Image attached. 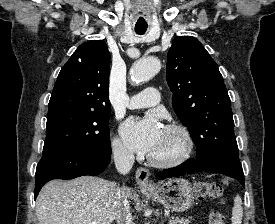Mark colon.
<instances>
[{
  "label": "colon",
  "mask_w": 275,
  "mask_h": 224,
  "mask_svg": "<svg viewBox=\"0 0 275 224\" xmlns=\"http://www.w3.org/2000/svg\"><path fill=\"white\" fill-rule=\"evenodd\" d=\"M196 197L199 200H203L206 198H213L217 200H222L223 197V189L220 184L201 180L197 181L194 186ZM209 224H225V217L219 211H214L211 213L209 217Z\"/></svg>",
  "instance_id": "colon-1"
}]
</instances>
